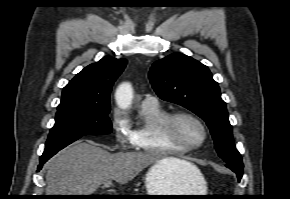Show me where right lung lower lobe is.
Instances as JSON below:
<instances>
[{"label": "right lung lower lobe", "mask_w": 290, "mask_h": 199, "mask_svg": "<svg viewBox=\"0 0 290 199\" xmlns=\"http://www.w3.org/2000/svg\"><path fill=\"white\" fill-rule=\"evenodd\" d=\"M57 152H53V153H47V154H43L40 157V164L38 166V170H40L42 168V165L48 160L50 159L53 155H55Z\"/></svg>", "instance_id": "1"}]
</instances>
